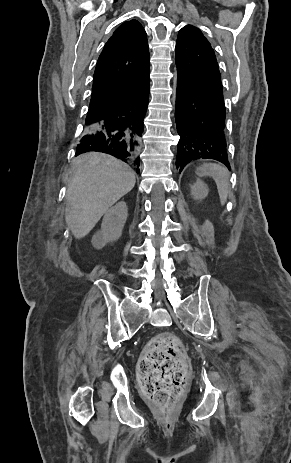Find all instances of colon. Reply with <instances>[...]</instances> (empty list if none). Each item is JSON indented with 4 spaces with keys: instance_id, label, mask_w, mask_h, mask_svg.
I'll list each match as a JSON object with an SVG mask.
<instances>
[{
    "instance_id": "1",
    "label": "colon",
    "mask_w": 291,
    "mask_h": 463,
    "mask_svg": "<svg viewBox=\"0 0 291 463\" xmlns=\"http://www.w3.org/2000/svg\"><path fill=\"white\" fill-rule=\"evenodd\" d=\"M138 373L144 395L162 408L165 417L169 416L189 375L182 342L170 333L157 335L145 347Z\"/></svg>"
}]
</instances>
